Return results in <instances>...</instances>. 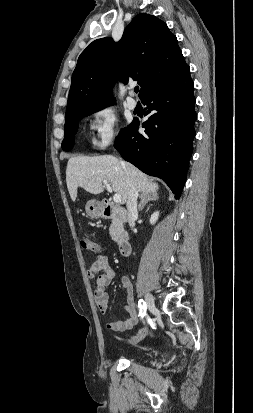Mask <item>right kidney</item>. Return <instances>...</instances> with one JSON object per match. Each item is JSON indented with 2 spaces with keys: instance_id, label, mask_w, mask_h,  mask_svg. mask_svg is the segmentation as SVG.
Wrapping results in <instances>:
<instances>
[{
  "instance_id": "obj_1",
  "label": "right kidney",
  "mask_w": 253,
  "mask_h": 413,
  "mask_svg": "<svg viewBox=\"0 0 253 413\" xmlns=\"http://www.w3.org/2000/svg\"><path fill=\"white\" fill-rule=\"evenodd\" d=\"M159 217V212H154L150 217V223L153 225L156 223Z\"/></svg>"
}]
</instances>
